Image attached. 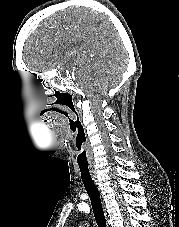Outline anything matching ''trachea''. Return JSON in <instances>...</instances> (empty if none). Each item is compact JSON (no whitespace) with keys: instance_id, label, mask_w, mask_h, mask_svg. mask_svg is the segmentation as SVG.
Masks as SVG:
<instances>
[{"instance_id":"3493384b","label":"trachea","mask_w":179,"mask_h":227,"mask_svg":"<svg viewBox=\"0 0 179 227\" xmlns=\"http://www.w3.org/2000/svg\"><path fill=\"white\" fill-rule=\"evenodd\" d=\"M75 156L76 158H78L76 162L81 172V179L91 200L96 223L98 227H106V220L100 199V194L89 172L86 152L85 150H77Z\"/></svg>"}]
</instances>
